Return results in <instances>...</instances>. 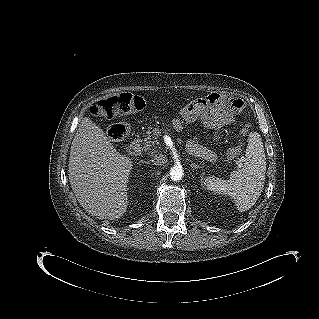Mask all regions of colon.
<instances>
[{"instance_id": "1", "label": "colon", "mask_w": 319, "mask_h": 319, "mask_svg": "<svg viewBox=\"0 0 319 319\" xmlns=\"http://www.w3.org/2000/svg\"><path fill=\"white\" fill-rule=\"evenodd\" d=\"M206 102L212 107L226 106L234 111L241 110L244 107V102L233 95L211 93L206 97ZM145 106V101L142 97L131 93H122L105 99L99 100L90 109L93 116L104 117L111 119L120 115H125L131 112L139 111ZM129 125L126 122H119L111 125L108 129L109 138L114 141H120L127 136ZM244 144L230 148L227 151V157L233 158L242 153Z\"/></svg>"}]
</instances>
